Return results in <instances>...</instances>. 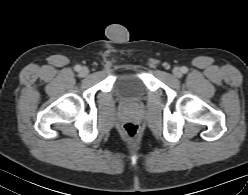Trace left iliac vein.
Masks as SVG:
<instances>
[{"instance_id":"left-iliac-vein-1","label":"left iliac vein","mask_w":248,"mask_h":195,"mask_svg":"<svg viewBox=\"0 0 248 195\" xmlns=\"http://www.w3.org/2000/svg\"><path fill=\"white\" fill-rule=\"evenodd\" d=\"M173 74L175 77L180 78L182 76V71L179 67L173 69Z\"/></svg>"}]
</instances>
